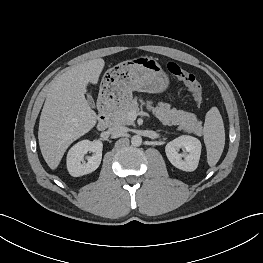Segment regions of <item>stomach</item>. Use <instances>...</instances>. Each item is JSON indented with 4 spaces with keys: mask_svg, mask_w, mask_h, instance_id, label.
Listing matches in <instances>:
<instances>
[{
    "mask_svg": "<svg viewBox=\"0 0 263 263\" xmlns=\"http://www.w3.org/2000/svg\"><path fill=\"white\" fill-rule=\"evenodd\" d=\"M169 78L153 57L127 60L110 68L104 74L100 96L112 98L115 104L126 105L133 91L160 93L167 89Z\"/></svg>",
    "mask_w": 263,
    "mask_h": 263,
    "instance_id": "stomach-1",
    "label": "stomach"
}]
</instances>
